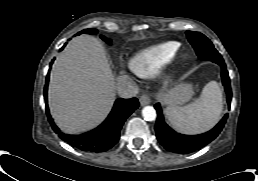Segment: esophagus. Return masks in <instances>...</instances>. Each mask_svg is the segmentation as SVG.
I'll use <instances>...</instances> for the list:
<instances>
[{
    "label": "esophagus",
    "mask_w": 258,
    "mask_h": 181,
    "mask_svg": "<svg viewBox=\"0 0 258 181\" xmlns=\"http://www.w3.org/2000/svg\"><path fill=\"white\" fill-rule=\"evenodd\" d=\"M139 101H140L141 106H145L151 102V100L147 94H142Z\"/></svg>",
    "instance_id": "obj_1"
}]
</instances>
